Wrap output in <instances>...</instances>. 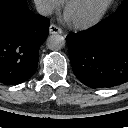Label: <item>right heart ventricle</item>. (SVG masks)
<instances>
[{
	"instance_id": "obj_1",
	"label": "right heart ventricle",
	"mask_w": 128,
	"mask_h": 128,
	"mask_svg": "<svg viewBox=\"0 0 128 128\" xmlns=\"http://www.w3.org/2000/svg\"><path fill=\"white\" fill-rule=\"evenodd\" d=\"M62 2H65L66 0H61Z\"/></svg>"
}]
</instances>
